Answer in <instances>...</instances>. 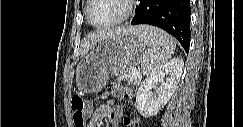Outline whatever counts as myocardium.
<instances>
[{
  "label": "myocardium",
  "mask_w": 243,
  "mask_h": 127,
  "mask_svg": "<svg viewBox=\"0 0 243 127\" xmlns=\"http://www.w3.org/2000/svg\"><path fill=\"white\" fill-rule=\"evenodd\" d=\"M93 1L94 0L87 1L85 14H86V19H87L88 23L92 27H95V28H108V27H113V26L123 23L134 13L135 3H136L135 0H122L125 4V11L120 17H118L117 19H115L113 21L107 22V23L96 24L92 21L91 15H90V8H91Z\"/></svg>",
  "instance_id": "myocardium-1"
}]
</instances>
